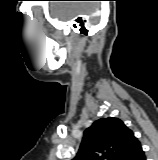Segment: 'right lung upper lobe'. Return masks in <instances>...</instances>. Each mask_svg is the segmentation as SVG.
I'll return each instance as SVG.
<instances>
[{
  "label": "right lung upper lobe",
  "instance_id": "cb5924a9",
  "mask_svg": "<svg viewBox=\"0 0 158 160\" xmlns=\"http://www.w3.org/2000/svg\"><path fill=\"white\" fill-rule=\"evenodd\" d=\"M141 144L118 118H100L84 131L72 160H129Z\"/></svg>",
  "mask_w": 158,
  "mask_h": 160
}]
</instances>
